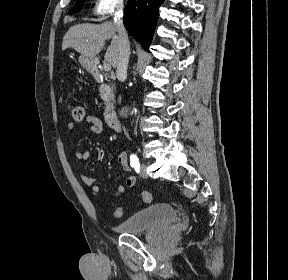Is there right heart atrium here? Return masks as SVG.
Segmentation results:
<instances>
[{
    "mask_svg": "<svg viewBox=\"0 0 288 280\" xmlns=\"http://www.w3.org/2000/svg\"><path fill=\"white\" fill-rule=\"evenodd\" d=\"M124 6V0H95L93 15L98 20H105Z\"/></svg>",
    "mask_w": 288,
    "mask_h": 280,
    "instance_id": "obj_1",
    "label": "right heart atrium"
}]
</instances>
